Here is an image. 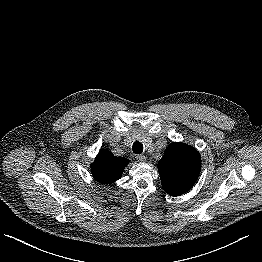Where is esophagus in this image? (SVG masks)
I'll return each instance as SVG.
<instances>
[{"label":"esophagus","mask_w":262,"mask_h":262,"mask_svg":"<svg viewBox=\"0 0 262 262\" xmlns=\"http://www.w3.org/2000/svg\"><path fill=\"white\" fill-rule=\"evenodd\" d=\"M136 160L138 162H145L146 161V157L144 155H137L136 156Z\"/></svg>","instance_id":"34e87169"}]
</instances>
